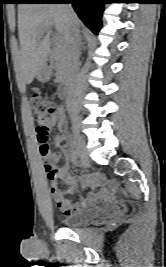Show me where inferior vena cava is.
Listing matches in <instances>:
<instances>
[{
    "mask_svg": "<svg viewBox=\"0 0 166 267\" xmlns=\"http://www.w3.org/2000/svg\"><path fill=\"white\" fill-rule=\"evenodd\" d=\"M67 20V58L71 68V87H74L78 76V64L81 50V35L78 17L70 3L62 5Z\"/></svg>",
    "mask_w": 166,
    "mask_h": 267,
    "instance_id": "inferior-vena-cava-1",
    "label": "inferior vena cava"
}]
</instances>
